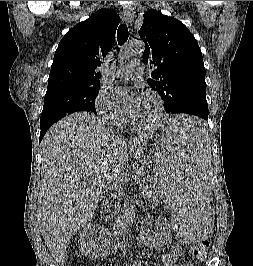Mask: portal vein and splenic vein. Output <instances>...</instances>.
Returning a JSON list of instances; mask_svg holds the SVG:
<instances>
[{"instance_id":"portal-vein-and-splenic-vein-1","label":"portal vein and splenic vein","mask_w":253,"mask_h":266,"mask_svg":"<svg viewBox=\"0 0 253 266\" xmlns=\"http://www.w3.org/2000/svg\"><path fill=\"white\" fill-rule=\"evenodd\" d=\"M138 175H141L142 174V172H138L137 173ZM92 183L94 184V185H97V186H99L100 187V185L97 183V181L96 180H94V181H92ZM144 192H142V194H143ZM147 194H148V192H146ZM149 197H151V194H149Z\"/></svg>"}]
</instances>
